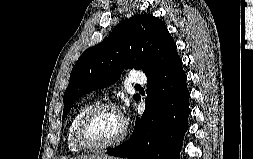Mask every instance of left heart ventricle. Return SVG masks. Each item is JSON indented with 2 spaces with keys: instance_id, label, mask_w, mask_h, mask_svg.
Listing matches in <instances>:
<instances>
[{
  "instance_id": "b2bd125f",
  "label": "left heart ventricle",
  "mask_w": 253,
  "mask_h": 159,
  "mask_svg": "<svg viewBox=\"0 0 253 159\" xmlns=\"http://www.w3.org/2000/svg\"><path fill=\"white\" fill-rule=\"evenodd\" d=\"M121 114L113 109H104L92 117L87 135L93 143H104L115 139L122 131Z\"/></svg>"
}]
</instances>
